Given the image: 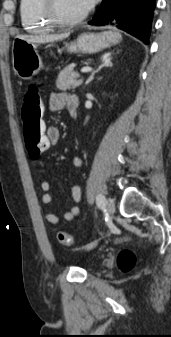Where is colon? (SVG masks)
<instances>
[{
  "mask_svg": "<svg viewBox=\"0 0 171 337\" xmlns=\"http://www.w3.org/2000/svg\"><path fill=\"white\" fill-rule=\"evenodd\" d=\"M46 106L47 101L41 100L37 85H29L23 97L21 116L25 148L33 159L40 156L50 146V141L44 135V126H42L44 119L41 118L46 115V110L41 107ZM55 237L62 245L72 246L74 244L73 237L64 231H56ZM117 263L122 270L129 271L136 263V256L131 250L124 249L119 253Z\"/></svg>",
  "mask_w": 171,
  "mask_h": 337,
  "instance_id": "5ec220e1",
  "label": "colon"
}]
</instances>
